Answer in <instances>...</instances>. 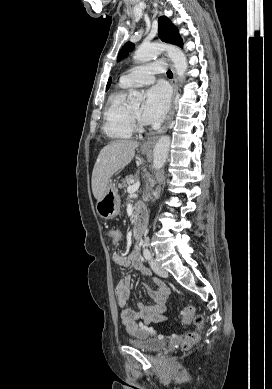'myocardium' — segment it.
Here are the masks:
<instances>
[{"label": "myocardium", "instance_id": "myocardium-1", "mask_svg": "<svg viewBox=\"0 0 272 389\" xmlns=\"http://www.w3.org/2000/svg\"><path fill=\"white\" fill-rule=\"evenodd\" d=\"M129 117L134 131L142 132L145 129L143 120L129 108Z\"/></svg>", "mask_w": 272, "mask_h": 389}]
</instances>
